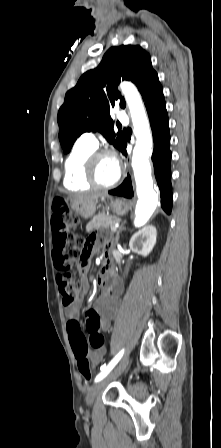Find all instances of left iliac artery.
<instances>
[{
  "label": "left iliac artery",
  "mask_w": 221,
  "mask_h": 448,
  "mask_svg": "<svg viewBox=\"0 0 221 448\" xmlns=\"http://www.w3.org/2000/svg\"><path fill=\"white\" fill-rule=\"evenodd\" d=\"M124 354V349H122L114 358L113 360L105 367V364L102 366V371L101 373H99L96 378H95V382H98L100 380H102L103 378H105L108 373L115 367V365L119 362V360L121 359V357Z\"/></svg>",
  "instance_id": "obj_1"
}]
</instances>
